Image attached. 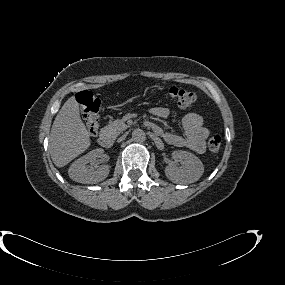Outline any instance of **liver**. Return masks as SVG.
Listing matches in <instances>:
<instances>
[{"label": "liver", "instance_id": "6515ba94", "mask_svg": "<svg viewBox=\"0 0 285 285\" xmlns=\"http://www.w3.org/2000/svg\"><path fill=\"white\" fill-rule=\"evenodd\" d=\"M90 146L88 131L79 114L75 97H70L57 114L51 128L49 148L53 163L64 167Z\"/></svg>", "mask_w": 285, "mask_h": 285}]
</instances>
